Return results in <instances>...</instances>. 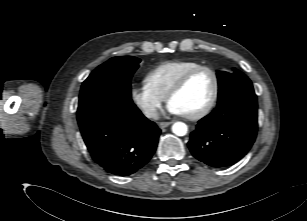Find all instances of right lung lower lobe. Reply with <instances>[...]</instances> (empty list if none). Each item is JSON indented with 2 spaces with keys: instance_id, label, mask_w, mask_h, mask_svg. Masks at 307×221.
Returning a JSON list of instances; mask_svg holds the SVG:
<instances>
[{
  "instance_id": "1",
  "label": "right lung lower lobe",
  "mask_w": 307,
  "mask_h": 221,
  "mask_svg": "<svg viewBox=\"0 0 307 221\" xmlns=\"http://www.w3.org/2000/svg\"><path fill=\"white\" fill-rule=\"evenodd\" d=\"M79 126L92 159L119 176L131 175L149 162L161 132L135 105L103 111Z\"/></svg>"
}]
</instances>
